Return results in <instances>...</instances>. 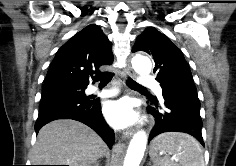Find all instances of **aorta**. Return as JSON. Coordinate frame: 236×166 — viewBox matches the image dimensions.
Masks as SVG:
<instances>
[{"instance_id": "762f6f07", "label": "aorta", "mask_w": 236, "mask_h": 166, "mask_svg": "<svg viewBox=\"0 0 236 166\" xmlns=\"http://www.w3.org/2000/svg\"><path fill=\"white\" fill-rule=\"evenodd\" d=\"M133 69L141 75L149 74L152 69L151 61L141 55H136L132 59ZM147 144V135L144 131L137 132L130 141L123 166H139L143 158Z\"/></svg>"}]
</instances>
